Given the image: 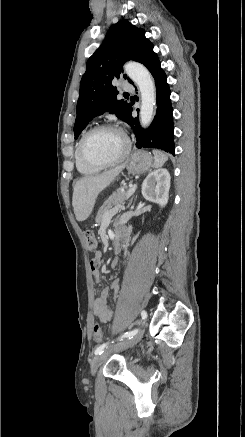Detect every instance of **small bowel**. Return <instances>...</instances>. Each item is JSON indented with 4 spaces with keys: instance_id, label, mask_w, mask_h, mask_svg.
Wrapping results in <instances>:
<instances>
[{
    "instance_id": "small-bowel-1",
    "label": "small bowel",
    "mask_w": 245,
    "mask_h": 437,
    "mask_svg": "<svg viewBox=\"0 0 245 437\" xmlns=\"http://www.w3.org/2000/svg\"><path fill=\"white\" fill-rule=\"evenodd\" d=\"M100 258H101V253L97 252L91 261V269L96 282H98L100 279V272H99ZM118 290H119V281L114 280L108 288H104L101 290L100 295L94 301V306H93L94 315L103 323L110 322L113 317V311L107 302L108 294L110 291L117 293Z\"/></svg>"
}]
</instances>
